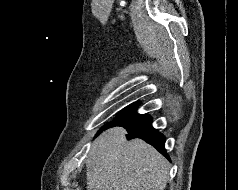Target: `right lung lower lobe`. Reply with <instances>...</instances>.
<instances>
[{
	"label": "right lung lower lobe",
	"instance_id": "1",
	"mask_svg": "<svg viewBox=\"0 0 238 190\" xmlns=\"http://www.w3.org/2000/svg\"><path fill=\"white\" fill-rule=\"evenodd\" d=\"M151 123V116L142 115L118 126L124 127L128 131V139L141 138L154 146L161 154L169 159L165 149V137L155 130Z\"/></svg>",
	"mask_w": 238,
	"mask_h": 190
}]
</instances>
